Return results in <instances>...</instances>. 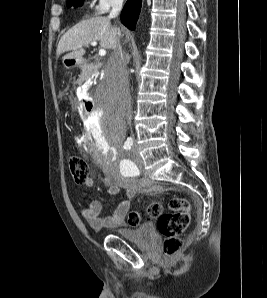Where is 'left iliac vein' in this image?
<instances>
[{
	"label": "left iliac vein",
	"mask_w": 267,
	"mask_h": 298,
	"mask_svg": "<svg viewBox=\"0 0 267 298\" xmlns=\"http://www.w3.org/2000/svg\"><path fill=\"white\" fill-rule=\"evenodd\" d=\"M132 154H133V157L135 158V160H136L138 163H141V162H142L140 156L138 155L136 144L134 145V147H133V149H132Z\"/></svg>",
	"instance_id": "1"
}]
</instances>
